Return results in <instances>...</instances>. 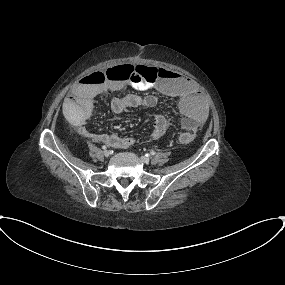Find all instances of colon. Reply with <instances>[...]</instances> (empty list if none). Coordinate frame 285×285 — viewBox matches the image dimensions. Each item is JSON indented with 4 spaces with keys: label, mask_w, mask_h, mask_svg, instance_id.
<instances>
[{
    "label": "colon",
    "mask_w": 285,
    "mask_h": 285,
    "mask_svg": "<svg viewBox=\"0 0 285 285\" xmlns=\"http://www.w3.org/2000/svg\"><path fill=\"white\" fill-rule=\"evenodd\" d=\"M159 76V70L154 67L123 65L116 68H109L105 72L94 71L82 75L81 80L92 84H104L108 79L119 78L133 83H140L144 80L152 82ZM192 141L191 133H182L179 142L187 144Z\"/></svg>",
    "instance_id": "5ec220e1"
}]
</instances>
